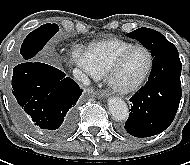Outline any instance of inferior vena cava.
<instances>
[{
	"mask_svg": "<svg viewBox=\"0 0 190 165\" xmlns=\"http://www.w3.org/2000/svg\"><path fill=\"white\" fill-rule=\"evenodd\" d=\"M73 75H74L75 79L82 82L84 85H89L90 84L89 78L82 71H80L79 69H74L73 70Z\"/></svg>",
	"mask_w": 190,
	"mask_h": 165,
	"instance_id": "1",
	"label": "inferior vena cava"
}]
</instances>
